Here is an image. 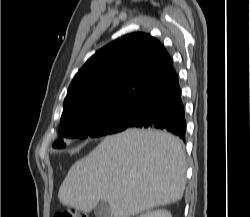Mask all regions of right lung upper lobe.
I'll use <instances>...</instances> for the list:
<instances>
[{
	"mask_svg": "<svg viewBox=\"0 0 250 217\" xmlns=\"http://www.w3.org/2000/svg\"><path fill=\"white\" fill-rule=\"evenodd\" d=\"M174 73L157 39L145 33L125 35L96 52L75 75L60 122L86 110L138 100Z\"/></svg>",
	"mask_w": 250,
	"mask_h": 217,
	"instance_id": "cb5924a9",
	"label": "right lung upper lobe"
}]
</instances>
